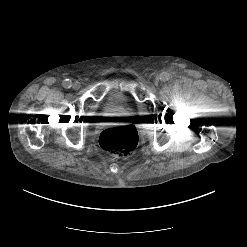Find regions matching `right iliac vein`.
Listing matches in <instances>:
<instances>
[{
	"mask_svg": "<svg viewBox=\"0 0 247 247\" xmlns=\"http://www.w3.org/2000/svg\"><path fill=\"white\" fill-rule=\"evenodd\" d=\"M80 83L78 82V81H75L74 83H73V88L75 89V90H77V89H79L80 88Z\"/></svg>",
	"mask_w": 247,
	"mask_h": 247,
	"instance_id": "1",
	"label": "right iliac vein"
}]
</instances>
